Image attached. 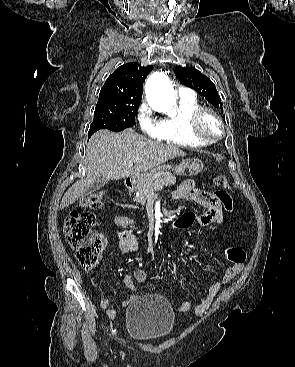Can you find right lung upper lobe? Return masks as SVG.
Returning a JSON list of instances; mask_svg holds the SVG:
<instances>
[{"instance_id":"right-lung-upper-lobe-1","label":"right lung upper lobe","mask_w":295,"mask_h":367,"mask_svg":"<svg viewBox=\"0 0 295 367\" xmlns=\"http://www.w3.org/2000/svg\"><path fill=\"white\" fill-rule=\"evenodd\" d=\"M152 69L135 62L120 66L106 80L99 98L141 101L143 82Z\"/></svg>"}]
</instances>
